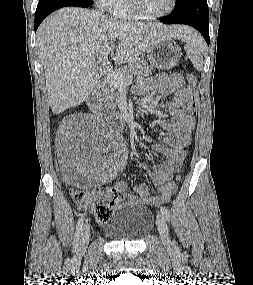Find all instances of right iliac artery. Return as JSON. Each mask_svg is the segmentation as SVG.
Masks as SVG:
<instances>
[{
	"label": "right iliac artery",
	"mask_w": 253,
	"mask_h": 285,
	"mask_svg": "<svg viewBox=\"0 0 253 285\" xmlns=\"http://www.w3.org/2000/svg\"><path fill=\"white\" fill-rule=\"evenodd\" d=\"M84 223V215L82 214L76 224V231H75V236H74V240H73V246L76 249L78 246V241L80 238V233L82 231V226Z\"/></svg>",
	"instance_id": "right-iliac-artery-1"
}]
</instances>
